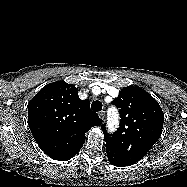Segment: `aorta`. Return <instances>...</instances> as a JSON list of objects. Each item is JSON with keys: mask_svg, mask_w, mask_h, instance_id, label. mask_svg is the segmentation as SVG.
Here are the masks:
<instances>
[{"mask_svg": "<svg viewBox=\"0 0 187 187\" xmlns=\"http://www.w3.org/2000/svg\"><path fill=\"white\" fill-rule=\"evenodd\" d=\"M108 126L111 130H115L118 127V113L116 109H110L108 111Z\"/></svg>", "mask_w": 187, "mask_h": 187, "instance_id": "aorta-1", "label": "aorta"}]
</instances>
